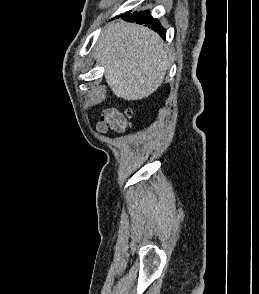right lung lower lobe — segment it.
<instances>
[{"instance_id":"obj_1","label":"right lung lower lobe","mask_w":259,"mask_h":294,"mask_svg":"<svg viewBox=\"0 0 259 294\" xmlns=\"http://www.w3.org/2000/svg\"><path fill=\"white\" fill-rule=\"evenodd\" d=\"M122 18L127 21L137 22L138 24H146L147 26L152 27L154 31H158L161 37L165 38V29H163L157 19H154L150 15L149 11L134 12L133 14L126 13Z\"/></svg>"}]
</instances>
